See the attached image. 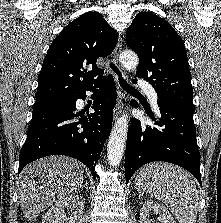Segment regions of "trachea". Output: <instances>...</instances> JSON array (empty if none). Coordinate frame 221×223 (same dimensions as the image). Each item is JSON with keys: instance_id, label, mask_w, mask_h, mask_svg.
Here are the masks:
<instances>
[{"instance_id": "3493384b", "label": "trachea", "mask_w": 221, "mask_h": 223, "mask_svg": "<svg viewBox=\"0 0 221 223\" xmlns=\"http://www.w3.org/2000/svg\"><path fill=\"white\" fill-rule=\"evenodd\" d=\"M110 67L114 70L115 73H117L118 75V79H119V83L122 86V88H124L126 91L131 92V93H136L139 94V91L134 89L132 86H130L122 77L120 71L118 70V68L111 63Z\"/></svg>"}]
</instances>
